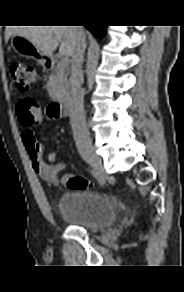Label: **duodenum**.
I'll list each match as a JSON object with an SVG mask.
<instances>
[{"label": "duodenum", "instance_id": "duodenum-1", "mask_svg": "<svg viewBox=\"0 0 184 292\" xmlns=\"http://www.w3.org/2000/svg\"><path fill=\"white\" fill-rule=\"evenodd\" d=\"M53 65V61L48 63V68H51ZM49 113L51 116L55 117H66L71 113V99L68 96H63L57 100H55L49 109Z\"/></svg>", "mask_w": 184, "mask_h": 292}]
</instances>
